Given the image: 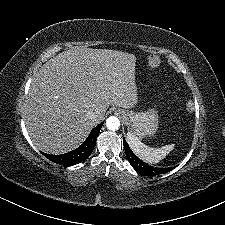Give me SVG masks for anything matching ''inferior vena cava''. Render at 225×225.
<instances>
[{
    "instance_id": "602c4592",
    "label": "inferior vena cava",
    "mask_w": 225,
    "mask_h": 225,
    "mask_svg": "<svg viewBox=\"0 0 225 225\" xmlns=\"http://www.w3.org/2000/svg\"><path fill=\"white\" fill-rule=\"evenodd\" d=\"M100 112L98 110H91L87 112L88 117L90 118H96L98 117Z\"/></svg>"
}]
</instances>
